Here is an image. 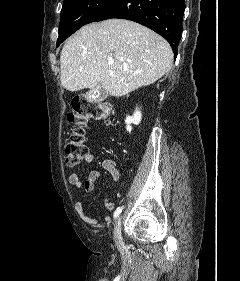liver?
<instances>
[{
  "label": "liver",
  "mask_w": 240,
  "mask_h": 281,
  "mask_svg": "<svg viewBox=\"0 0 240 281\" xmlns=\"http://www.w3.org/2000/svg\"><path fill=\"white\" fill-rule=\"evenodd\" d=\"M172 62V49L163 37L136 22L109 19L83 26L66 41L60 81L71 92L101 84L121 97L155 83Z\"/></svg>",
  "instance_id": "1"
}]
</instances>
